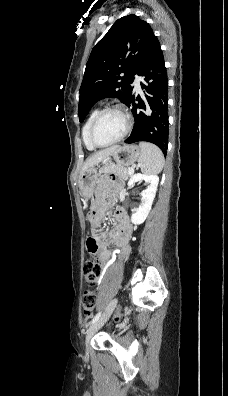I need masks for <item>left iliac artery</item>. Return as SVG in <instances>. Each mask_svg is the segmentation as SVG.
Returning a JSON list of instances; mask_svg holds the SVG:
<instances>
[{
  "label": "left iliac artery",
  "instance_id": "1",
  "mask_svg": "<svg viewBox=\"0 0 228 396\" xmlns=\"http://www.w3.org/2000/svg\"><path fill=\"white\" fill-rule=\"evenodd\" d=\"M101 314H102V312L100 311V312H98L94 317H93V319L90 321V325L92 324V323H94L97 319H99V317L101 316Z\"/></svg>",
  "mask_w": 228,
  "mask_h": 396
}]
</instances>
